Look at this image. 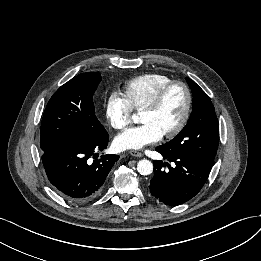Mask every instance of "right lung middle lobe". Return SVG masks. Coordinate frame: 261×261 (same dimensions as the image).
<instances>
[{
	"mask_svg": "<svg viewBox=\"0 0 261 261\" xmlns=\"http://www.w3.org/2000/svg\"><path fill=\"white\" fill-rule=\"evenodd\" d=\"M99 73H82L62 85L49 100L41 124L40 146L48 152L73 140L107 134L95 115L93 94Z\"/></svg>",
	"mask_w": 261,
	"mask_h": 261,
	"instance_id": "right-lung-middle-lobe-1",
	"label": "right lung middle lobe"
}]
</instances>
